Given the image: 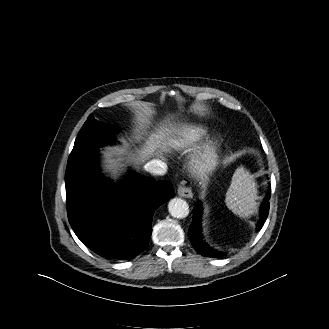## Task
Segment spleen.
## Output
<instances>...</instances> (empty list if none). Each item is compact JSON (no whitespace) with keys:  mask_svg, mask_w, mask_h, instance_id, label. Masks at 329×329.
<instances>
[{"mask_svg":"<svg viewBox=\"0 0 329 329\" xmlns=\"http://www.w3.org/2000/svg\"><path fill=\"white\" fill-rule=\"evenodd\" d=\"M257 187L249 172L243 167L235 170L226 193V205L240 217H249L256 210Z\"/></svg>","mask_w":329,"mask_h":329,"instance_id":"1","label":"spleen"}]
</instances>
